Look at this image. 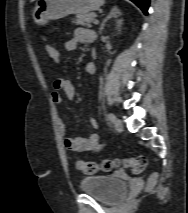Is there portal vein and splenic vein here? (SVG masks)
<instances>
[{"label":"portal vein and splenic vein","instance_id":"obj_1","mask_svg":"<svg viewBox=\"0 0 188 213\" xmlns=\"http://www.w3.org/2000/svg\"><path fill=\"white\" fill-rule=\"evenodd\" d=\"M93 23H94V24H98L99 21H98L97 19H95V20L93 21Z\"/></svg>","mask_w":188,"mask_h":213}]
</instances>
